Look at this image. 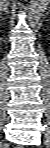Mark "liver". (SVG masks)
<instances>
[{
  "mask_svg": "<svg viewBox=\"0 0 50 148\" xmlns=\"http://www.w3.org/2000/svg\"><path fill=\"white\" fill-rule=\"evenodd\" d=\"M0 2H1V6L3 7L4 0H1Z\"/></svg>",
  "mask_w": 50,
  "mask_h": 148,
  "instance_id": "obj_1",
  "label": "liver"
}]
</instances>
